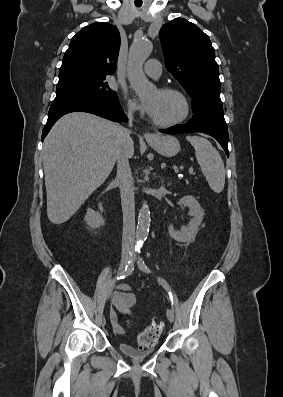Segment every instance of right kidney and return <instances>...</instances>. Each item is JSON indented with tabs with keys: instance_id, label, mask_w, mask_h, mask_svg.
<instances>
[{
	"instance_id": "right-kidney-1",
	"label": "right kidney",
	"mask_w": 283,
	"mask_h": 397,
	"mask_svg": "<svg viewBox=\"0 0 283 397\" xmlns=\"http://www.w3.org/2000/svg\"><path fill=\"white\" fill-rule=\"evenodd\" d=\"M85 222L91 229H97L104 225L102 216L97 215L93 210L88 209L85 215Z\"/></svg>"
}]
</instances>
